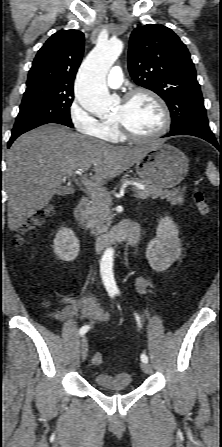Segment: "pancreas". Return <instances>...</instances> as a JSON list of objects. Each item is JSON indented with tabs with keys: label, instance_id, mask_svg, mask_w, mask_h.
<instances>
[{
	"label": "pancreas",
	"instance_id": "1",
	"mask_svg": "<svg viewBox=\"0 0 222 447\" xmlns=\"http://www.w3.org/2000/svg\"><path fill=\"white\" fill-rule=\"evenodd\" d=\"M127 179H123L122 182H125ZM135 181L144 185V190H139L134 188L133 190L136 192V196L141 199L146 198H161L167 199L169 202L174 204H182L184 202L183 192L185 189H164L161 186L148 184L137 178H134ZM92 206L90 207L87 215V223L88 228H90L93 234H99L105 232L111 224V198L110 195L105 196H92Z\"/></svg>",
	"mask_w": 222,
	"mask_h": 447
}]
</instances>
